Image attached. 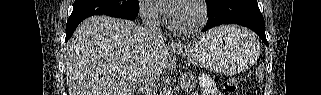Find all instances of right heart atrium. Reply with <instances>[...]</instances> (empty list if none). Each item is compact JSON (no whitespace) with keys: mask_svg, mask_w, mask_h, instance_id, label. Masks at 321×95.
Segmentation results:
<instances>
[{"mask_svg":"<svg viewBox=\"0 0 321 95\" xmlns=\"http://www.w3.org/2000/svg\"><path fill=\"white\" fill-rule=\"evenodd\" d=\"M140 13L147 22H156L159 19L157 8L152 2L147 0L140 2Z\"/></svg>","mask_w":321,"mask_h":95,"instance_id":"1","label":"right heart atrium"}]
</instances>
